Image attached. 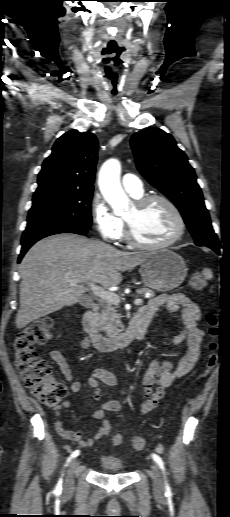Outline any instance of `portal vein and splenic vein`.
I'll return each instance as SVG.
<instances>
[{
    "mask_svg": "<svg viewBox=\"0 0 230 517\" xmlns=\"http://www.w3.org/2000/svg\"><path fill=\"white\" fill-rule=\"evenodd\" d=\"M71 285H75L77 283H80L81 280L79 278H76V277H72V278H69L67 280ZM91 288V290L93 291V293L100 297L101 299L105 300L106 302L108 303H113V304H118L120 303V298L117 294L113 293V292H110V291H106L104 290L103 288L97 286V285H94L92 283H89L88 284ZM147 295H150V294H147ZM135 305H141L143 303V300L142 299H136L134 301Z\"/></svg>",
    "mask_w": 230,
    "mask_h": 517,
    "instance_id": "portal-vein-and-splenic-vein-1",
    "label": "portal vein and splenic vein"
}]
</instances>
